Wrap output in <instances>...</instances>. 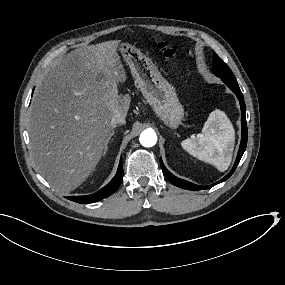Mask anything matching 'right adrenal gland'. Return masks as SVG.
<instances>
[{
  "label": "right adrenal gland",
  "mask_w": 285,
  "mask_h": 285,
  "mask_svg": "<svg viewBox=\"0 0 285 285\" xmlns=\"http://www.w3.org/2000/svg\"><path fill=\"white\" fill-rule=\"evenodd\" d=\"M114 134H115V131H112L111 134H110V136H109V138L107 139V143H108L109 141H113V138H111V137H112ZM107 150H108V146L106 145V146H105V149H104V154L106 153Z\"/></svg>",
  "instance_id": "1"
}]
</instances>
